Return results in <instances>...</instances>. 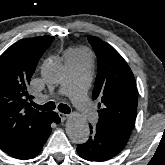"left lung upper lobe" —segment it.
<instances>
[{
  "label": "left lung upper lobe",
  "mask_w": 165,
  "mask_h": 165,
  "mask_svg": "<svg viewBox=\"0 0 165 165\" xmlns=\"http://www.w3.org/2000/svg\"><path fill=\"white\" fill-rule=\"evenodd\" d=\"M98 60V73L93 90L97 99L100 126L129 139L136 118L138 93L134 75L123 57L97 37H88Z\"/></svg>",
  "instance_id": "obj_1"
}]
</instances>
